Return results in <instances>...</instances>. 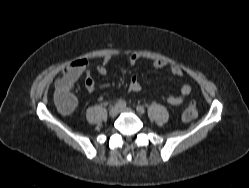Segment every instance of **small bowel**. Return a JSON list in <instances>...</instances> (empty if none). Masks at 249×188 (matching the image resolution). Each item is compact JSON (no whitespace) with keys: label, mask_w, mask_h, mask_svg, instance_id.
Returning <instances> with one entry per match:
<instances>
[{"label":"small bowel","mask_w":249,"mask_h":188,"mask_svg":"<svg viewBox=\"0 0 249 188\" xmlns=\"http://www.w3.org/2000/svg\"><path fill=\"white\" fill-rule=\"evenodd\" d=\"M112 57L106 56L103 59V62L97 66V72L101 76L107 74V66L111 62ZM140 60V57L137 54L130 53L126 56V61L130 66L137 64ZM89 62L86 59H78L74 61L64 72L62 77L57 81L56 88H65L71 90L74 84L78 81L82 74L86 73L85 86L88 93H93L97 89L106 88L107 84L95 82L88 72ZM152 65L155 69H162L167 66V63L160 59H155L152 62ZM168 69L171 74L175 76H182V69L174 64L168 65ZM129 89L132 92H140L141 85L138 82L136 76L130 78ZM191 92V87L188 84L182 85L180 89V95H169L165 98L166 102L172 106H179L184 102L186 96Z\"/></svg>","instance_id":"c3829d8e"}]
</instances>
